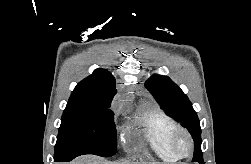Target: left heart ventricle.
I'll return each instance as SVG.
<instances>
[{"label": "left heart ventricle", "mask_w": 251, "mask_h": 164, "mask_svg": "<svg viewBox=\"0 0 251 164\" xmlns=\"http://www.w3.org/2000/svg\"><path fill=\"white\" fill-rule=\"evenodd\" d=\"M181 147H182L183 149L185 148V143H184V142L181 143Z\"/></svg>", "instance_id": "left-heart-ventricle-1"}]
</instances>
